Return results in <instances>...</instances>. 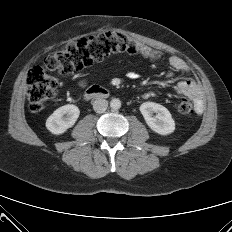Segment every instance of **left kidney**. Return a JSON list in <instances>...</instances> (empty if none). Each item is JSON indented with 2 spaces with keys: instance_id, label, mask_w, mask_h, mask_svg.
I'll return each instance as SVG.
<instances>
[{
  "instance_id": "1",
  "label": "left kidney",
  "mask_w": 232,
  "mask_h": 232,
  "mask_svg": "<svg viewBox=\"0 0 232 232\" xmlns=\"http://www.w3.org/2000/svg\"><path fill=\"white\" fill-rule=\"evenodd\" d=\"M140 112L147 125L154 132L160 135H168L174 132L175 121L169 110L164 106L154 102H145L141 104ZM153 113H156V115L153 116Z\"/></svg>"
}]
</instances>
